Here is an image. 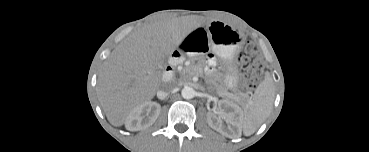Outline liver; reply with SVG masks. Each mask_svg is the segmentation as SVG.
<instances>
[{
    "mask_svg": "<svg viewBox=\"0 0 369 152\" xmlns=\"http://www.w3.org/2000/svg\"><path fill=\"white\" fill-rule=\"evenodd\" d=\"M196 27L173 18L143 26L126 37L104 62L97 96L108 121L122 126L128 114L161 87L160 62Z\"/></svg>",
    "mask_w": 369,
    "mask_h": 152,
    "instance_id": "1",
    "label": "liver"
}]
</instances>
